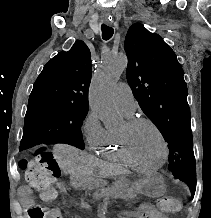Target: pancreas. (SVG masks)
Wrapping results in <instances>:
<instances>
[{
  "instance_id": "pancreas-1",
  "label": "pancreas",
  "mask_w": 211,
  "mask_h": 218,
  "mask_svg": "<svg viewBox=\"0 0 211 218\" xmlns=\"http://www.w3.org/2000/svg\"><path fill=\"white\" fill-rule=\"evenodd\" d=\"M105 190H98V195H119L121 198H124V200H127V198H136L137 194L134 190V188H127V186H121V184H117V189L112 190V186H105Z\"/></svg>"
}]
</instances>
